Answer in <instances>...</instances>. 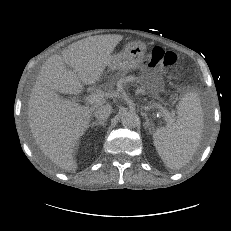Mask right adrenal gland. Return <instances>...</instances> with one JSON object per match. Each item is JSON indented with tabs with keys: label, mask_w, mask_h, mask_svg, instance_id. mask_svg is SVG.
Masks as SVG:
<instances>
[{
	"label": "right adrenal gland",
	"mask_w": 231,
	"mask_h": 231,
	"mask_svg": "<svg viewBox=\"0 0 231 231\" xmlns=\"http://www.w3.org/2000/svg\"><path fill=\"white\" fill-rule=\"evenodd\" d=\"M98 125H101V126H105L106 125V120H103V121H95L91 124V127H95V126H98Z\"/></svg>",
	"instance_id": "right-adrenal-gland-1"
}]
</instances>
